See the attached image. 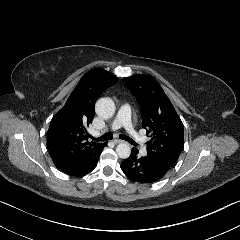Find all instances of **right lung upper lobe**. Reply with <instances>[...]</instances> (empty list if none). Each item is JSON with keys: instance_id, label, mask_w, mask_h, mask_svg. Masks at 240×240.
Listing matches in <instances>:
<instances>
[{"instance_id": "1", "label": "right lung upper lobe", "mask_w": 240, "mask_h": 240, "mask_svg": "<svg viewBox=\"0 0 240 240\" xmlns=\"http://www.w3.org/2000/svg\"><path fill=\"white\" fill-rule=\"evenodd\" d=\"M117 81L118 77L104 69L90 70L51 120L47 147L61 171L72 173L82 169L106 146V143L89 142L86 127L94 118L97 97Z\"/></svg>"}]
</instances>
